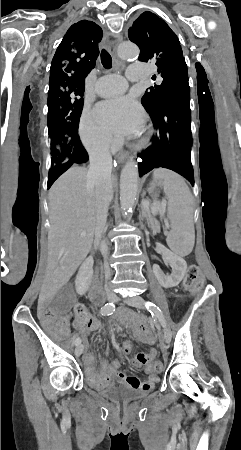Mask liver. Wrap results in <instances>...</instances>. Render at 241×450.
I'll return each instance as SVG.
<instances>
[{
    "mask_svg": "<svg viewBox=\"0 0 241 450\" xmlns=\"http://www.w3.org/2000/svg\"><path fill=\"white\" fill-rule=\"evenodd\" d=\"M87 168L71 166L49 190L48 258L40 302H49L89 254L96 226V190L87 188ZM115 176L111 184L116 186ZM86 232L85 238H80Z\"/></svg>",
    "mask_w": 241,
    "mask_h": 450,
    "instance_id": "liver-1",
    "label": "liver"
}]
</instances>
